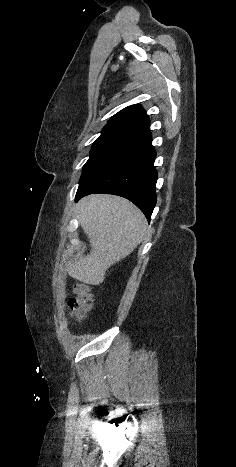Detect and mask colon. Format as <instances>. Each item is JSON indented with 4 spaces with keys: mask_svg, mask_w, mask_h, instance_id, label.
I'll return each instance as SVG.
<instances>
[{
    "mask_svg": "<svg viewBox=\"0 0 236 467\" xmlns=\"http://www.w3.org/2000/svg\"><path fill=\"white\" fill-rule=\"evenodd\" d=\"M75 297L71 298L68 302L71 316L77 320L81 321L90 311L93 299L90 292V288L87 284L82 282H77L74 285Z\"/></svg>",
    "mask_w": 236,
    "mask_h": 467,
    "instance_id": "1",
    "label": "colon"
}]
</instances>
